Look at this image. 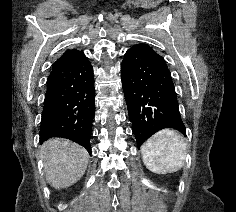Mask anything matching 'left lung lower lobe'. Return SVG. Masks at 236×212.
Returning a JSON list of instances; mask_svg holds the SVG:
<instances>
[{
    "label": "left lung lower lobe",
    "mask_w": 236,
    "mask_h": 212,
    "mask_svg": "<svg viewBox=\"0 0 236 212\" xmlns=\"http://www.w3.org/2000/svg\"><path fill=\"white\" fill-rule=\"evenodd\" d=\"M121 78L138 147L164 128L186 134L171 73L149 44L140 43L125 53Z\"/></svg>",
    "instance_id": "left-lung-lower-lobe-1"
}]
</instances>
